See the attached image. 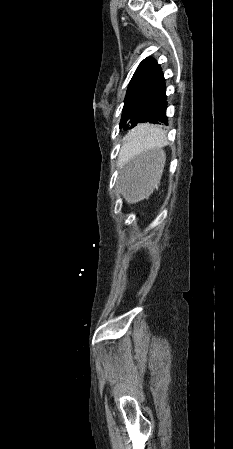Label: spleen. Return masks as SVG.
<instances>
[{
    "label": "spleen",
    "instance_id": "1",
    "mask_svg": "<svg viewBox=\"0 0 233 449\" xmlns=\"http://www.w3.org/2000/svg\"><path fill=\"white\" fill-rule=\"evenodd\" d=\"M162 141V134L159 129H154L152 124H139L138 131L130 133L123 145V152L136 149L140 151L145 146L154 147L157 142ZM161 173V171H160Z\"/></svg>",
    "mask_w": 233,
    "mask_h": 449
}]
</instances>
